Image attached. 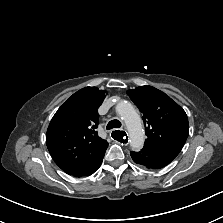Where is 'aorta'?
Here are the masks:
<instances>
[{
    "instance_id": "1",
    "label": "aorta",
    "mask_w": 223,
    "mask_h": 223,
    "mask_svg": "<svg viewBox=\"0 0 223 223\" xmlns=\"http://www.w3.org/2000/svg\"><path fill=\"white\" fill-rule=\"evenodd\" d=\"M116 112L126 124L131 148L139 151L144 144V132L139 114L133 105L127 101L119 102L116 106Z\"/></svg>"
}]
</instances>
